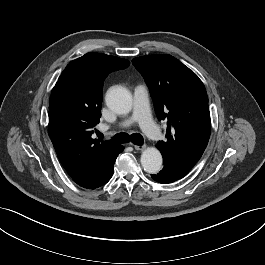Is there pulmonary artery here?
<instances>
[{"mask_svg": "<svg viewBox=\"0 0 265 265\" xmlns=\"http://www.w3.org/2000/svg\"><path fill=\"white\" fill-rule=\"evenodd\" d=\"M133 112L130 117L117 123V128H126L132 123H139L142 130L151 138L159 139L162 134L159 128L153 122L149 110L148 90L144 85H138L133 92ZM103 130H107L109 126L103 125Z\"/></svg>", "mask_w": 265, "mask_h": 265, "instance_id": "e3ab8cb5", "label": "pulmonary artery"}]
</instances>
